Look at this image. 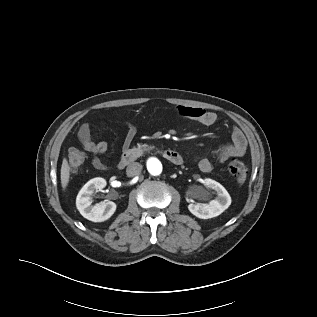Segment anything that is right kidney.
<instances>
[{"mask_svg": "<svg viewBox=\"0 0 317 317\" xmlns=\"http://www.w3.org/2000/svg\"><path fill=\"white\" fill-rule=\"evenodd\" d=\"M105 186L106 180L96 177L89 180L79 191L76 198V207L84 218L93 222H103L116 211V204L112 201H103L92 205L91 196L94 191L101 190Z\"/></svg>", "mask_w": 317, "mask_h": 317, "instance_id": "obj_1", "label": "right kidney"}]
</instances>
